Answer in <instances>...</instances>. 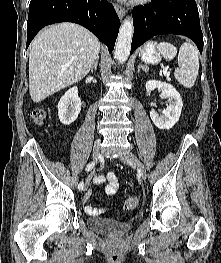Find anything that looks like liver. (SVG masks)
Instances as JSON below:
<instances>
[{
	"instance_id": "1",
	"label": "liver",
	"mask_w": 221,
	"mask_h": 263,
	"mask_svg": "<svg viewBox=\"0 0 221 263\" xmlns=\"http://www.w3.org/2000/svg\"><path fill=\"white\" fill-rule=\"evenodd\" d=\"M100 43L84 27L60 23L44 29L29 53V93L38 103L82 80L99 58Z\"/></svg>"
}]
</instances>
